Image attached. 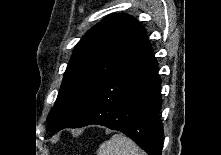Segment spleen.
Listing matches in <instances>:
<instances>
[{
    "instance_id": "spleen-1",
    "label": "spleen",
    "mask_w": 221,
    "mask_h": 155,
    "mask_svg": "<svg viewBox=\"0 0 221 155\" xmlns=\"http://www.w3.org/2000/svg\"><path fill=\"white\" fill-rule=\"evenodd\" d=\"M97 155H145V153L130 138L114 134L99 146Z\"/></svg>"
}]
</instances>
